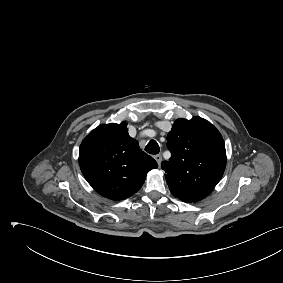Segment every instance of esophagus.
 Masks as SVG:
<instances>
[{
    "mask_svg": "<svg viewBox=\"0 0 283 283\" xmlns=\"http://www.w3.org/2000/svg\"><path fill=\"white\" fill-rule=\"evenodd\" d=\"M155 160L157 161L158 165L162 162V156L160 154H157L154 156Z\"/></svg>",
    "mask_w": 283,
    "mask_h": 283,
    "instance_id": "1",
    "label": "esophagus"
}]
</instances>
